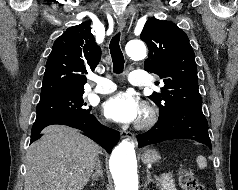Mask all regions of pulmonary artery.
Here are the masks:
<instances>
[{
  "label": "pulmonary artery",
  "instance_id": "pulmonary-artery-1",
  "mask_svg": "<svg viewBox=\"0 0 238 190\" xmlns=\"http://www.w3.org/2000/svg\"><path fill=\"white\" fill-rule=\"evenodd\" d=\"M97 83L94 88L95 93L109 94L116 90V85L113 81L107 78H95ZM129 81L135 86H146L148 85V74L143 70H134L130 74Z\"/></svg>",
  "mask_w": 238,
  "mask_h": 190
}]
</instances>
